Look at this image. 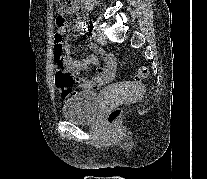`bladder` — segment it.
Returning a JSON list of instances; mask_svg holds the SVG:
<instances>
[{
	"instance_id": "31cf9c89",
	"label": "bladder",
	"mask_w": 207,
	"mask_h": 179,
	"mask_svg": "<svg viewBox=\"0 0 207 179\" xmlns=\"http://www.w3.org/2000/svg\"><path fill=\"white\" fill-rule=\"evenodd\" d=\"M99 113V95L93 91H78L68 97L62 108L65 120L87 124L95 121Z\"/></svg>"
}]
</instances>
